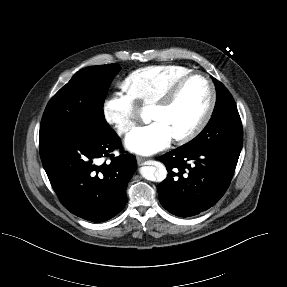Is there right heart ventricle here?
I'll return each instance as SVG.
<instances>
[{"instance_id": "e07e8e85", "label": "right heart ventricle", "mask_w": 287, "mask_h": 287, "mask_svg": "<svg viewBox=\"0 0 287 287\" xmlns=\"http://www.w3.org/2000/svg\"><path fill=\"white\" fill-rule=\"evenodd\" d=\"M191 70L180 65L149 66L133 71L126 79V86L143 104H153L182 76Z\"/></svg>"}]
</instances>
